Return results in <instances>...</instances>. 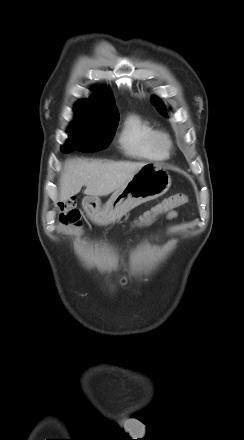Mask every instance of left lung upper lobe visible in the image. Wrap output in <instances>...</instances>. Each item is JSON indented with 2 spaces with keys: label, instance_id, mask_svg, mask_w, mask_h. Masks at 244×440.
<instances>
[{
  "label": "left lung upper lobe",
  "instance_id": "left-lung-upper-lobe-1",
  "mask_svg": "<svg viewBox=\"0 0 244 440\" xmlns=\"http://www.w3.org/2000/svg\"><path fill=\"white\" fill-rule=\"evenodd\" d=\"M152 102H153L154 104H156V106H157V108H158V110H159L160 113H162L163 115H167V114H166V107H165V105L162 103V101H161L160 99L154 97V98L152 99Z\"/></svg>",
  "mask_w": 244,
  "mask_h": 440
}]
</instances>
